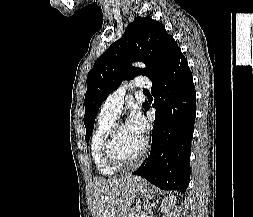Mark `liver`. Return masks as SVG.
<instances>
[{"instance_id": "1", "label": "liver", "mask_w": 253, "mask_h": 217, "mask_svg": "<svg viewBox=\"0 0 253 217\" xmlns=\"http://www.w3.org/2000/svg\"><path fill=\"white\" fill-rule=\"evenodd\" d=\"M139 181V177L130 174L95 180L92 194L94 217H124L136 197L135 187Z\"/></svg>"}]
</instances>
